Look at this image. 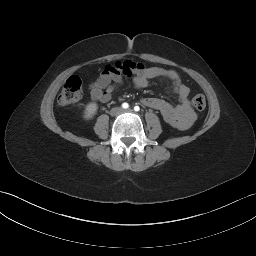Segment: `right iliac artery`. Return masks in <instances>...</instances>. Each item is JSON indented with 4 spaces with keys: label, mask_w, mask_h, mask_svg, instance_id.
Instances as JSON below:
<instances>
[{
    "label": "right iliac artery",
    "mask_w": 256,
    "mask_h": 256,
    "mask_svg": "<svg viewBox=\"0 0 256 256\" xmlns=\"http://www.w3.org/2000/svg\"><path fill=\"white\" fill-rule=\"evenodd\" d=\"M122 107H123L124 109H127V108L129 107V104H128V103H123V104H122Z\"/></svg>",
    "instance_id": "82829eb1"
}]
</instances>
